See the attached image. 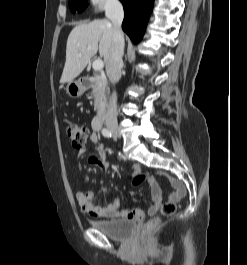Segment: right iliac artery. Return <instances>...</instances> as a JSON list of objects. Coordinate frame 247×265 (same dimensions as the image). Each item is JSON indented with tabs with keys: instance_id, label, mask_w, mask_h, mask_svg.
Returning <instances> with one entry per match:
<instances>
[{
	"instance_id": "1",
	"label": "right iliac artery",
	"mask_w": 247,
	"mask_h": 265,
	"mask_svg": "<svg viewBox=\"0 0 247 265\" xmlns=\"http://www.w3.org/2000/svg\"><path fill=\"white\" fill-rule=\"evenodd\" d=\"M102 134H103V136H105V137H111V132L108 130V129H106V128H104L103 130H102Z\"/></svg>"
}]
</instances>
